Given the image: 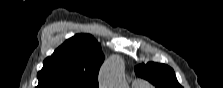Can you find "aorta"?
<instances>
[{"mask_svg": "<svg viewBox=\"0 0 223 88\" xmlns=\"http://www.w3.org/2000/svg\"><path fill=\"white\" fill-rule=\"evenodd\" d=\"M99 80L101 88H124V62L120 56L113 55L105 61Z\"/></svg>", "mask_w": 223, "mask_h": 88, "instance_id": "1", "label": "aorta"}]
</instances>
